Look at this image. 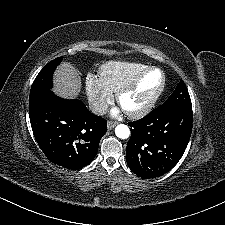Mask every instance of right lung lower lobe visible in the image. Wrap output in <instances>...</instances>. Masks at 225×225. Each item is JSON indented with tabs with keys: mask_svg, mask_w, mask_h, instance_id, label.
I'll list each match as a JSON object with an SVG mask.
<instances>
[{
	"mask_svg": "<svg viewBox=\"0 0 225 225\" xmlns=\"http://www.w3.org/2000/svg\"><path fill=\"white\" fill-rule=\"evenodd\" d=\"M29 100L31 127L45 156L67 169L90 164L107 131L106 120L92 114L83 102L59 98L52 91Z\"/></svg>",
	"mask_w": 225,
	"mask_h": 225,
	"instance_id": "98d812e1",
	"label": "right lung lower lobe"
}]
</instances>
